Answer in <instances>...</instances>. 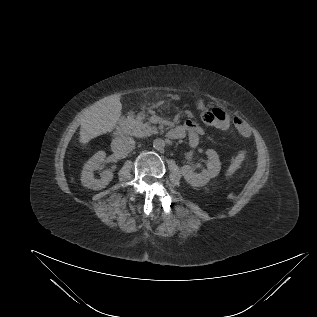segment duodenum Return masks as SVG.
<instances>
[{
  "label": "duodenum",
  "mask_w": 317,
  "mask_h": 317,
  "mask_svg": "<svg viewBox=\"0 0 317 317\" xmlns=\"http://www.w3.org/2000/svg\"><path fill=\"white\" fill-rule=\"evenodd\" d=\"M127 131H128V120L126 118H123L118 123L114 133H115V136H122V135H125Z\"/></svg>",
  "instance_id": "duodenum-1"
}]
</instances>
